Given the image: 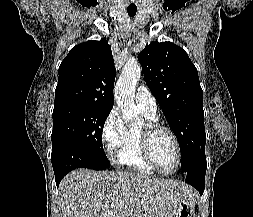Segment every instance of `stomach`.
Returning <instances> with one entry per match:
<instances>
[{
    "label": "stomach",
    "mask_w": 253,
    "mask_h": 217,
    "mask_svg": "<svg viewBox=\"0 0 253 217\" xmlns=\"http://www.w3.org/2000/svg\"><path fill=\"white\" fill-rule=\"evenodd\" d=\"M173 217H196L195 204L191 201H182L176 208Z\"/></svg>",
    "instance_id": "0dacf381"
}]
</instances>
